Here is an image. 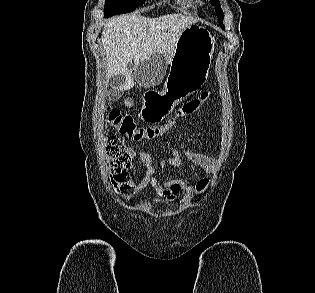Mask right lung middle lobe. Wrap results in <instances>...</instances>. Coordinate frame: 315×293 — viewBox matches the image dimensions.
Segmentation results:
<instances>
[{
    "label": "right lung middle lobe",
    "instance_id": "dd1d6c3e",
    "mask_svg": "<svg viewBox=\"0 0 315 293\" xmlns=\"http://www.w3.org/2000/svg\"><path fill=\"white\" fill-rule=\"evenodd\" d=\"M144 2L145 0H107L104 6L105 17L134 11Z\"/></svg>",
    "mask_w": 315,
    "mask_h": 293
}]
</instances>
